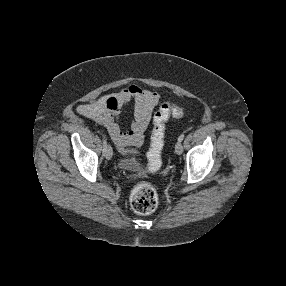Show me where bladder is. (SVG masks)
I'll return each instance as SVG.
<instances>
[{"mask_svg": "<svg viewBox=\"0 0 286 286\" xmlns=\"http://www.w3.org/2000/svg\"><path fill=\"white\" fill-rule=\"evenodd\" d=\"M138 159L136 157L121 158L117 162V166L122 170H130L137 166Z\"/></svg>", "mask_w": 286, "mask_h": 286, "instance_id": "bladder-1", "label": "bladder"}]
</instances>
